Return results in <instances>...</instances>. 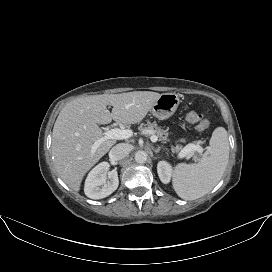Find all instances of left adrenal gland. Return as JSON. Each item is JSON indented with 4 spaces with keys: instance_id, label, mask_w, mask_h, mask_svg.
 Returning a JSON list of instances; mask_svg holds the SVG:
<instances>
[{
    "instance_id": "left-adrenal-gland-1",
    "label": "left adrenal gland",
    "mask_w": 272,
    "mask_h": 272,
    "mask_svg": "<svg viewBox=\"0 0 272 272\" xmlns=\"http://www.w3.org/2000/svg\"><path fill=\"white\" fill-rule=\"evenodd\" d=\"M160 150H161V148L159 147V148H157V149H154V152H155V153H158V152H160Z\"/></svg>"
}]
</instances>
